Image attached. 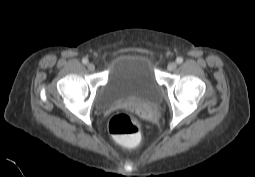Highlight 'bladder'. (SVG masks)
<instances>
[{
  "label": "bladder",
  "mask_w": 255,
  "mask_h": 177,
  "mask_svg": "<svg viewBox=\"0 0 255 177\" xmlns=\"http://www.w3.org/2000/svg\"><path fill=\"white\" fill-rule=\"evenodd\" d=\"M162 100V87L154 72V59L148 52L119 54L96 96V107L106 110L116 104L137 101L156 105Z\"/></svg>",
  "instance_id": "bladder-1"
}]
</instances>
